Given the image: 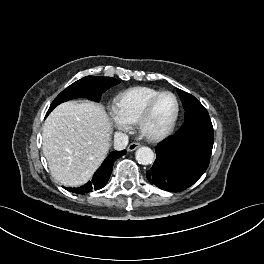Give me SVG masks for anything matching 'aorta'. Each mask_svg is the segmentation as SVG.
Listing matches in <instances>:
<instances>
[{"label":"aorta","instance_id":"762f6f07","mask_svg":"<svg viewBox=\"0 0 264 264\" xmlns=\"http://www.w3.org/2000/svg\"><path fill=\"white\" fill-rule=\"evenodd\" d=\"M135 157L139 164L148 165L153 162L154 153L151 148L143 146L137 149Z\"/></svg>","mask_w":264,"mask_h":264}]
</instances>
